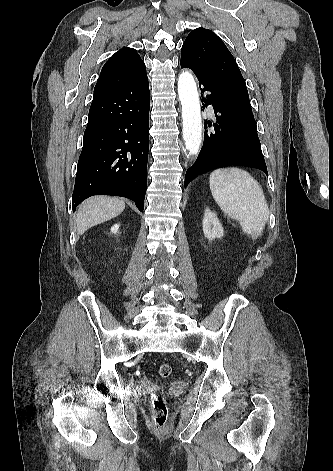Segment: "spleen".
Here are the masks:
<instances>
[{
  "mask_svg": "<svg viewBox=\"0 0 333 471\" xmlns=\"http://www.w3.org/2000/svg\"><path fill=\"white\" fill-rule=\"evenodd\" d=\"M209 183L221 210L238 221L245 234L252 238L259 236L269 218L268 204L259 183L237 167L214 170Z\"/></svg>",
  "mask_w": 333,
  "mask_h": 471,
  "instance_id": "3e777b00",
  "label": "spleen"
}]
</instances>
